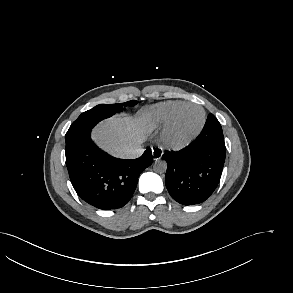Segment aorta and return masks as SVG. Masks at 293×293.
Instances as JSON below:
<instances>
[{
    "mask_svg": "<svg viewBox=\"0 0 293 293\" xmlns=\"http://www.w3.org/2000/svg\"><path fill=\"white\" fill-rule=\"evenodd\" d=\"M153 169L157 173H164L167 170V163L162 159H156L153 164Z\"/></svg>",
    "mask_w": 293,
    "mask_h": 293,
    "instance_id": "aorta-1",
    "label": "aorta"
}]
</instances>
